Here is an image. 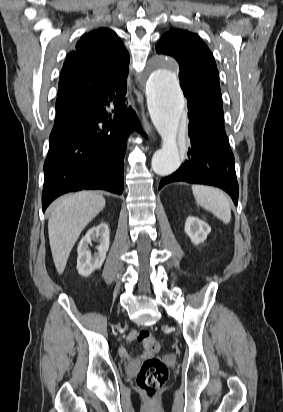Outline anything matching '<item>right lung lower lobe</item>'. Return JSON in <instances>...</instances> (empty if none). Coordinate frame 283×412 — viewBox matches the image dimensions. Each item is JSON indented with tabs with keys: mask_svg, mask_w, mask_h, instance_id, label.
Segmentation results:
<instances>
[{
	"mask_svg": "<svg viewBox=\"0 0 283 412\" xmlns=\"http://www.w3.org/2000/svg\"><path fill=\"white\" fill-rule=\"evenodd\" d=\"M62 78L69 80L66 65ZM126 86L102 87L56 114L44 163L43 211L67 192H123L127 138L135 127L142 133L135 112L126 106Z\"/></svg>",
	"mask_w": 283,
	"mask_h": 412,
	"instance_id": "right-lung-lower-lobe-1",
	"label": "right lung lower lobe"
}]
</instances>
